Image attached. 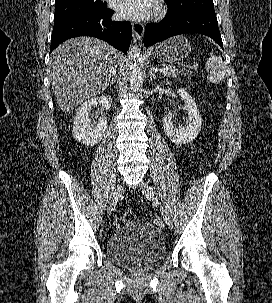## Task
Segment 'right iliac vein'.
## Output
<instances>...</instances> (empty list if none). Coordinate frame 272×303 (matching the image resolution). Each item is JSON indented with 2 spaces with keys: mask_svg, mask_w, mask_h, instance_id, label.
I'll return each mask as SVG.
<instances>
[{
  "mask_svg": "<svg viewBox=\"0 0 272 303\" xmlns=\"http://www.w3.org/2000/svg\"><path fill=\"white\" fill-rule=\"evenodd\" d=\"M122 186L120 183L117 184V186L115 187L114 189V192H113V195H112V198H111V202L109 204V207H108V216L111 215L112 211L114 210V207L116 206L118 200H119V197L122 193Z\"/></svg>",
  "mask_w": 272,
  "mask_h": 303,
  "instance_id": "1",
  "label": "right iliac vein"
}]
</instances>
